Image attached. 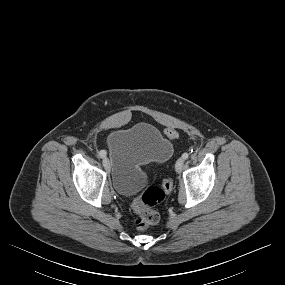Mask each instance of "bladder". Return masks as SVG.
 I'll return each instance as SVG.
<instances>
[{
  "label": "bladder",
  "mask_w": 285,
  "mask_h": 285,
  "mask_svg": "<svg viewBox=\"0 0 285 285\" xmlns=\"http://www.w3.org/2000/svg\"><path fill=\"white\" fill-rule=\"evenodd\" d=\"M111 182L123 196L137 194L146 184L143 167L168 159L172 145L156 126L141 122L112 131L107 137Z\"/></svg>",
  "instance_id": "bladder-1"
}]
</instances>
